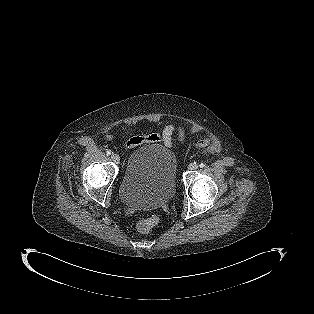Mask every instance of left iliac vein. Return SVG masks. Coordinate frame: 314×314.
<instances>
[{
	"mask_svg": "<svg viewBox=\"0 0 314 314\" xmlns=\"http://www.w3.org/2000/svg\"><path fill=\"white\" fill-rule=\"evenodd\" d=\"M188 169L193 171V170H197L198 169V164L195 162H192L188 165Z\"/></svg>",
	"mask_w": 314,
	"mask_h": 314,
	"instance_id": "4c4485c4",
	"label": "left iliac vein"
}]
</instances>
